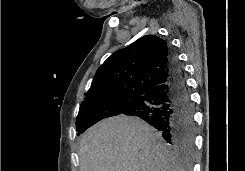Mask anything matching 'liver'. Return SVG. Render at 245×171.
<instances>
[{
	"label": "liver",
	"mask_w": 245,
	"mask_h": 171,
	"mask_svg": "<svg viewBox=\"0 0 245 171\" xmlns=\"http://www.w3.org/2000/svg\"><path fill=\"white\" fill-rule=\"evenodd\" d=\"M78 154L80 171H183L161 143L160 133L124 115L89 128Z\"/></svg>",
	"instance_id": "6515ba94"
}]
</instances>
